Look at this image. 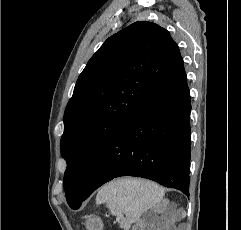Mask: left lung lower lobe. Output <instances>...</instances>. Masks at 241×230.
<instances>
[{"label":"left lung lower lobe","instance_id":"left-lung-lower-lobe-1","mask_svg":"<svg viewBox=\"0 0 241 230\" xmlns=\"http://www.w3.org/2000/svg\"><path fill=\"white\" fill-rule=\"evenodd\" d=\"M190 92L183 62L103 147L78 209L94 190L120 176L147 178L189 196Z\"/></svg>","mask_w":241,"mask_h":230}]
</instances>
